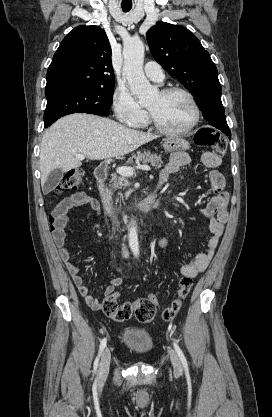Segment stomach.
Listing matches in <instances>:
<instances>
[{"instance_id": "1", "label": "stomach", "mask_w": 272, "mask_h": 417, "mask_svg": "<svg viewBox=\"0 0 272 417\" xmlns=\"http://www.w3.org/2000/svg\"><path fill=\"white\" fill-rule=\"evenodd\" d=\"M163 147L166 152L187 150L189 148V143L182 138H169L165 140Z\"/></svg>"}]
</instances>
